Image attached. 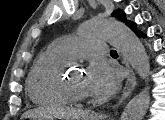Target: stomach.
<instances>
[{
    "instance_id": "1",
    "label": "stomach",
    "mask_w": 165,
    "mask_h": 120,
    "mask_svg": "<svg viewBox=\"0 0 165 120\" xmlns=\"http://www.w3.org/2000/svg\"><path fill=\"white\" fill-rule=\"evenodd\" d=\"M82 120H99V119L94 115H88L85 118H83Z\"/></svg>"
}]
</instances>
